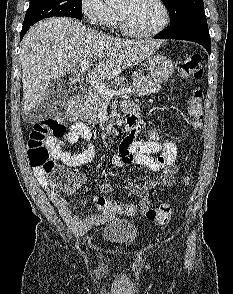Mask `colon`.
<instances>
[{"label":"colon","mask_w":233,"mask_h":294,"mask_svg":"<svg viewBox=\"0 0 233 294\" xmlns=\"http://www.w3.org/2000/svg\"><path fill=\"white\" fill-rule=\"evenodd\" d=\"M180 75L186 78L200 80L203 76L202 57L198 53H188L179 68ZM188 111L195 128H200L203 113V89L195 87L188 101ZM65 122L61 114H54L34 124L27 141L28 158L33 168L41 169L50 178V182L61 193L71 194L79 188L75 174L63 166L62 159L56 154L54 141L64 135ZM189 182L185 178L184 183ZM122 212L126 215L136 213L132 204H122ZM148 219L163 226L169 222L172 209L168 204H161L145 212Z\"/></svg>","instance_id":"5ec220e1"}]
</instances>
